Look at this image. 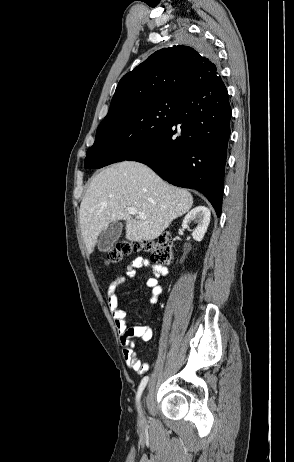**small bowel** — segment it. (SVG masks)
I'll return each instance as SVG.
<instances>
[{"label":"small bowel","mask_w":294,"mask_h":462,"mask_svg":"<svg viewBox=\"0 0 294 462\" xmlns=\"http://www.w3.org/2000/svg\"><path fill=\"white\" fill-rule=\"evenodd\" d=\"M138 269H149L153 273V276L148 278L146 286L151 290L150 303L153 305L157 303L162 294L160 280L168 275V269L165 266L153 264L144 257H137L126 267L124 273L117 274L111 280L107 289V304L119 333V342L126 365L138 374H143L148 370L149 365L139 358L135 351V344L137 341H150L153 331L149 325L128 327L127 312L120 307L117 295L118 288L126 284L130 278H134Z\"/></svg>","instance_id":"small-bowel-1"}]
</instances>
